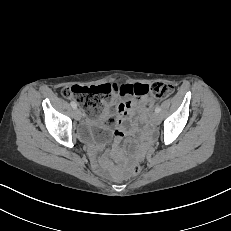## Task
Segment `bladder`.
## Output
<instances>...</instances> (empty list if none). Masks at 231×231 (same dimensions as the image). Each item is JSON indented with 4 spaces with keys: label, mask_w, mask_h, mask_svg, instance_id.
Instances as JSON below:
<instances>
[{
    "label": "bladder",
    "mask_w": 231,
    "mask_h": 231,
    "mask_svg": "<svg viewBox=\"0 0 231 231\" xmlns=\"http://www.w3.org/2000/svg\"><path fill=\"white\" fill-rule=\"evenodd\" d=\"M92 136L93 132L88 128L79 129L78 131V137L83 142H87Z\"/></svg>",
    "instance_id": "31cf9c89"
}]
</instances>
